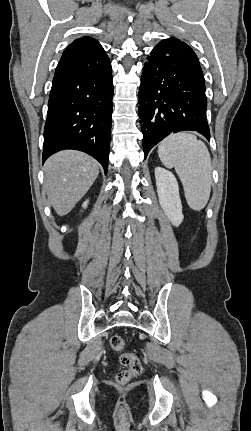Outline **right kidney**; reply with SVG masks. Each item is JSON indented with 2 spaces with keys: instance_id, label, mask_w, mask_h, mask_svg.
<instances>
[{
  "instance_id": "ca27d5eb",
  "label": "right kidney",
  "mask_w": 251,
  "mask_h": 431,
  "mask_svg": "<svg viewBox=\"0 0 251 431\" xmlns=\"http://www.w3.org/2000/svg\"><path fill=\"white\" fill-rule=\"evenodd\" d=\"M87 204H88V200H86L84 203H83V208H86L87 207Z\"/></svg>"
}]
</instances>
